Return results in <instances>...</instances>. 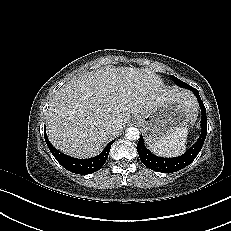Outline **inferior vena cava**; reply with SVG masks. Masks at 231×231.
<instances>
[{"instance_id": "obj_1", "label": "inferior vena cava", "mask_w": 231, "mask_h": 231, "mask_svg": "<svg viewBox=\"0 0 231 231\" xmlns=\"http://www.w3.org/2000/svg\"><path fill=\"white\" fill-rule=\"evenodd\" d=\"M118 129L117 125H109V127L107 128V130L113 134L116 133V130Z\"/></svg>"}]
</instances>
